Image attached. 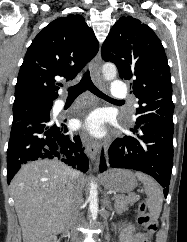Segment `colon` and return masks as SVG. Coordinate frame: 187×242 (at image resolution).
I'll use <instances>...</instances> for the list:
<instances>
[{
    "label": "colon",
    "mask_w": 187,
    "mask_h": 242,
    "mask_svg": "<svg viewBox=\"0 0 187 242\" xmlns=\"http://www.w3.org/2000/svg\"><path fill=\"white\" fill-rule=\"evenodd\" d=\"M137 212L138 223L142 226L139 242H151V238L157 230V220L147 212L146 205L143 202L139 203Z\"/></svg>",
    "instance_id": "1"
}]
</instances>
